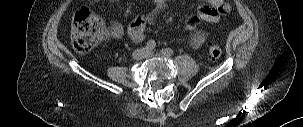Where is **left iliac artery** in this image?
Segmentation results:
<instances>
[{"mask_svg": "<svg viewBox=\"0 0 303 127\" xmlns=\"http://www.w3.org/2000/svg\"><path fill=\"white\" fill-rule=\"evenodd\" d=\"M161 53L165 56H171L174 54V51L170 48H165L161 50Z\"/></svg>", "mask_w": 303, "mask_h": 127, "instance_id": "1", "label": "left iliac artery"}]
</instances>
